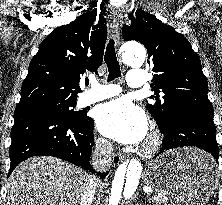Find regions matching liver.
I'll return each instance as SVG.
<instances>
[{
    "label": "liver",
    "instance_id": "liver-1",
    "mask_svg": "<svg viewBox=\"0 0 222 205\" xmlns=\"http://www.w3.org/2000/svg\"><path fill=\"white\" fill-rule=\"evenodd\" d=\"M91 176L51 156L32 157L8 178L6 205H80Z\"/></svg>",
    "mask_w": 222,
    "mask_h": 205
}]
</instances>
